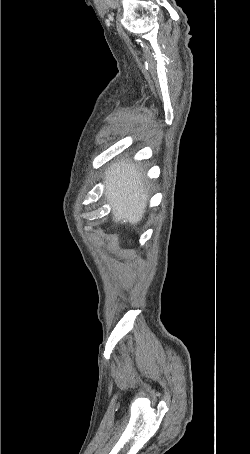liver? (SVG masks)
I'll use <instances>...</instances> for the list:
<instances>
[{
  "instance_id": "obj_1",
  "label": "liver",
  "mask_w": 250,
  "mask_h": 454,
  "mask_svg": "<svg viewBox=\"0 0 250 454\" xmlns=\"http://www.w3.org/2000/svg\"><path fill=\"white\" fill-rule=\"evenodd\" d=\"M144 174L136 164L122 160L113 163L105 172V198L111 204L113 221L127 219L137 224L144 216L148 201Z\"/></svg>"
}]
</instances>
